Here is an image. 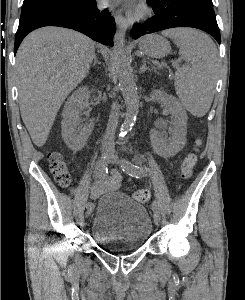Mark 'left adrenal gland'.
<instances>
[{
  "mask_svg": "<svg viewBox=\"0 0 245 300\" xmlns=\"http://www.w3.org/2000/svg\"><path fill=\"white\" fill-rule=\"evenodd\" d=\"M145 71H150V68L147 67L146 61H145V60H142V65H141V67H140L139 73H140V74H143Z\"/></svg>",
  "mask_w": 245,
  "mask_h": 300,
  "instance_id": "obj_1",
  "label": "left adrenal gland"
}]
</instances>
